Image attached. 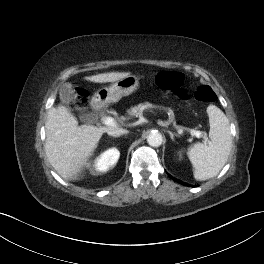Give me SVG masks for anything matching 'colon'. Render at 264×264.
Returning <instances> with one entry per match:
<instances>
[{
    "instance_id": "colon-1",
    "label": "colon",
    "mask_w": 264,
    "mask_h": 264,
    "mask_svg": "<svg viewBox=\"0 0 264 264\" xmlns=\"http://www.w3.org/2000/svg\"><path fill=\"white\" fill-rule=\"evenodd\" d=\"M156 84L181 100H189L190 95L183 88L184 76L180 72H160L155 78ZM194 99L197 102L209 103L215 100L214 91L206 85L198 86L194 92ZM89 94L82 88H75L73 91V108L77 112H83L88 103Z\"/></svg>"
}]
</instances>
